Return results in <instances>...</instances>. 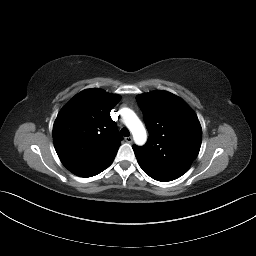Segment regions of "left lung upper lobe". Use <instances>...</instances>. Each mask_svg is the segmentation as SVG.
I'll list each match as a JSON object with an SVG mask.
<instances>
[{
    "label": "left lung upper lobe",
    "instance_id": "1",
    "mask_svg": "<svg viewBox=\"0 0 256 256\" xmlns=\"http://www.w3.org/2000/svg\"><path fill=\"white\" fill-rule=\"evenodd\" d=\"M149 131V140L133 146L137 161L154 179L171 181L182 176L196 159L202 129L192 109L167 91L136 97Z\"/></svg>",
    "mask_w": 256,
    "mask_h": 256
}]
</instances>
